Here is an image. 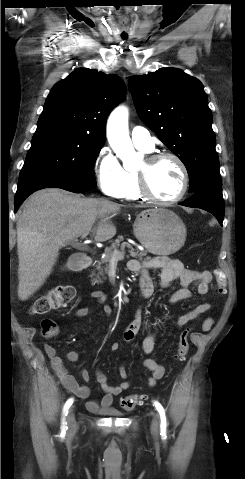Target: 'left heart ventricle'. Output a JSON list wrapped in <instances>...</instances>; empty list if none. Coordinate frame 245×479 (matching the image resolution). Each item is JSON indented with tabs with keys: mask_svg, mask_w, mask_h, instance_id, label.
Here are the masks:
<instances>
[{
	"mask_svg": "<svg viewBox=\"0 0 245 479\" xmlns=\"http://www.w3.org/2000/svg\"><path fill=\"white\" fill-rule=\"evenodd\" d=\"M149 185L158 198L163 200L174 198L182 186V175L179 166L172 159L160 160L150 170Z\"/></svg>",
	"mask_w": 245,
	"mask_h": 479,
	"instance_id": "1",
	"label": "left heart ventricle"
}]
</instances>
